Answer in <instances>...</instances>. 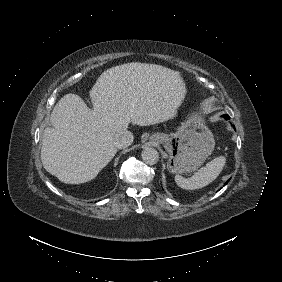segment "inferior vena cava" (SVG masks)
<instances>
[{
	"instance_id": "1",
	"label": "inferior vena cava",
	"mask_w": 282,
	"mask_h": 282,
	"mask_svg": "<svg viewBox=\"0 0 282 282\" xmlns=\"http://www.w3.org/2000/svg\"><path fill=\"white\" fill-rule=\"evenodd\" d=\"M133 142V135L130 131L117 134L113 138V144L116 148L122 149L128 147Z\"/></svg>"
}]
</instances>
